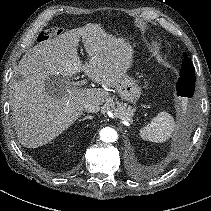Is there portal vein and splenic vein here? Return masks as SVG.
Masks as SVG:
<instances>
[{
  "mask_svg": "<svg viewBox=\"0 0 211 211\" xmlns=\"http://www.w3.org/2000/svg\"><path fill=\"white\" fill-rule=\"evenodd\" d=\"M86 80H83V81H81L80 83H76V85L78 86V85H84V84H86ZM110 117H112L113 118V114L110 112Z\"/></svg>",
  "mask_w": 211,
  "mask_h": 211,
  "instance_id": "portal-vein-and-splenic-vein-1",
  "label": "portal vein and splenic vein"
}]
</instances>
